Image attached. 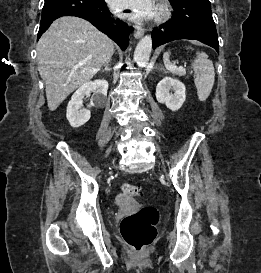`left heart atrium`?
Segmentation results:
<instances>
[{"label":"left heart atrium","instance_id":"1","mask_svg":"<svg viewBox=\"0 0 261 273\" xmlns=\"http://www.w3.org/2000/svg\"><path fill=\"white\" fill-rule=\"evenodd\" d=\"M111 7L132 19H149L156 12L154 0H109Z\"/></svg>","mask_w":261,"mask_h":273}]
</instances>
